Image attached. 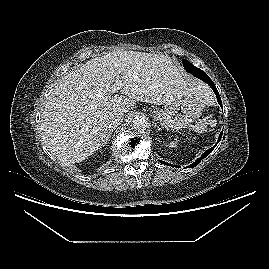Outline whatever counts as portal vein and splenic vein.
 <instances>
[{
  "label": "portal vein and splenic vein",
  "mask_w": 269,
  "mask_h": 269,
  "mask_svg": "<svg viewBox=\"0 0 269 269\" xmlns=\"http://www.w3.org/2000/svg\"><path fill=\"white\" fill-rule=\"evenodd\" d=\"M121 86H122L121 82L117 80V82L113 87V93H116L121 88Z\"/></svg>",
  "instance_id": "portal-vein-and-splenic-vein-1"
}]
</instances>
